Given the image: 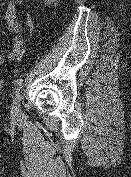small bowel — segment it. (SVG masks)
<instances>
[{
	"mask_svg": "<svg viewBox=\"0 0 131 177\" xmlns=\"http://www.w3.org/2000/svg\"><path fill=\"white\" fill-rule=\"evenodd\" d=\"M25 0H9L6 11L5 20L7 22L8 30L13 34L11 45L12 53L9 55L12 59H20L24 56L25 50L23 48V39L20 35L22 27L17 20V9L23 7ZM26 25L31 32L34 31L35 25L32 17L28 12L25 13ZM4 62V57L0 55V65Z\"/></svg>",
	"mask_w": 131,
	"mask_h": 177,
	"instance_id": "small-bowel-1",
	"label": "small bowel"
}]
</instances>
